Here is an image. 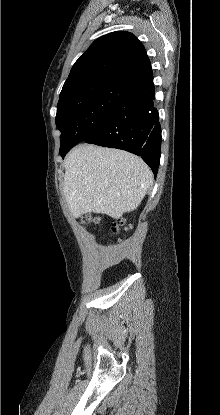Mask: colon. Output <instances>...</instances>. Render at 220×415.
Returning <instances> with one entry per match:
<instances>
[{"label":"colon","instance_id":"colon-1","mask_svg":"<svg viewBox=\"0 0 220 415\" xmlns=\"http://www.w3.org/2000/svg\"><path fill=\"white\" fill-rule=\"evenodd\" d=\"M100 221H101V218L99 216L91 215L88 218H86V220L84 221V224L87 226H92V225L99 224ZM121 222L122 221L120 220L116 225L121 224Z\"/></svg>","mask_w":220,"mask_h":415}]
</instances>
